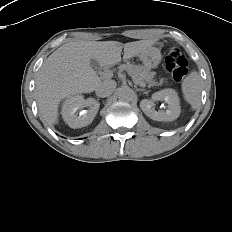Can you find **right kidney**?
I'll use <instances>...</instances> for the list:
<instances>
[{
	"mask_svg": "<svg viewBox=\"0 0 232 232\" xmlns=\"http://www.w3.org/2000/svg\"><path fill=\"white\" fill-rule=\"evenodd\" d=\"M99 106L94 98L84 99L79 94L68 96L62 104V118L73 129L85 127L92 123ZM85 107L88 109L83 110Z\"/></svg>",
	"mask_w": 232,
	"mask_h": 232,
	"instance_id": "obj_1",
	"label": "right kidney"
}]
</instances>
